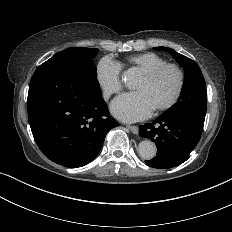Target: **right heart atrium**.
<instances>
[{"label":"right heart atrium","mask_w":232,"mask_h":232,"mask_svg":"<svg viewBox=\"0 0 232 232\" xmlns=\"http://www.w3.org/2000/svg\"><path fill=\"white\" fill-rule=\"evenodd\" d=\"M95 75L99 86L107 97L121 91L120 65L111 57L104 56L98 61Z\"/></svg>","instance_id":"obj_1"}]
</instances>
